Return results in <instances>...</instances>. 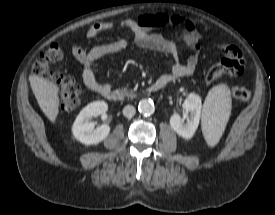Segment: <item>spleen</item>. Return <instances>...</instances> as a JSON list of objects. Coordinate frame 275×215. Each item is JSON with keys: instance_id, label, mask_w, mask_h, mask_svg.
<instances>
[{"instance_id": "3e777b00", "label": "spleen", "mask_w": 275, "mask_h": 215, "mask_svg": "<svg viewBox=\"0 0 275 215\" xmlns=\"http://www.w3.org/2000/svg\"><path fill=\"white\" fill-rule=\"evenodd\" d=\"M231 112V94L225 84L214 86L208 93L202 113V131L207 144L215 146L226 127Z\"/></svg>"}]
</instances>
